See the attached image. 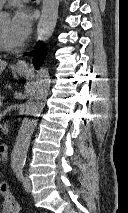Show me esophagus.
Wrapping results in <instances>:
<instances>
[{"instance_id": "1", "label": "esophagus", "mask_w": 128, "mask_h": 213, "mask_svg": "<svg viewBox=\"0 0 128 213\" xmlns=\"http://www.w3.org/2000/svg\"><path fill=\"white\" fill-rule=\"evenodd\" d=\"M14 68L18 70H27L28 63L25 60H19L14 64Z\"/></svg>"}]
</instances>
